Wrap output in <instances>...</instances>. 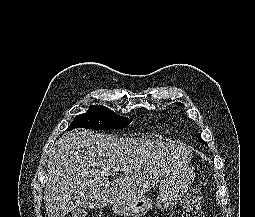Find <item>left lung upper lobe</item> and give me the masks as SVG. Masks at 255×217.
I'll list each match as a JSON object with an SVG mask.
<instances>
[{"label":"left lung upper lobe","instance_id":"1","mask_svg":"<svg viewBox=\"0 0 255 217\" xmlns=\"http://www.w3.org/2000/svg\"><path fill=\"white\" fill-rule=\"evenodd\" d=\"M177 104H178V105H183L182 103H177ZM198 138H199V141H200V142L206 144V142H204V141L201 139L200 135H198Z\"/></svg>","mask_w":255,"mask_h":217}]
</instances>
